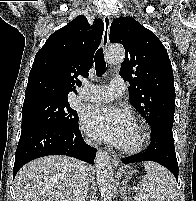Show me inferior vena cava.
<instances>
[{"label":"inferior vena cava","mask_w":196,"mask_h":201,"mask_svg":"<svg viewBox=\"0 0 196 201\" xmlns=\"http://www.w3.org/2000/svg\"><path fill=\"white\" fill-rule=\"evenodd\" d=\"M87 176L88 173L86 171L85 164L79 163L74 175L73 201H87L86 200L88 193Z\"/></svg>","instance_id":"obj_1"}]
</instances>
